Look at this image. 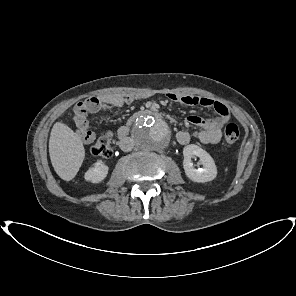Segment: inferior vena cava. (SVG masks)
<instances>
[{
    "mask_svg": "<svg viewBox=\"0 0 296 296\" xmlns=\"http://www.w3.org/2000/svg\"><path fill=\"white\" fill-rule=\"evenodd\" d=\"M134 147V142L131 138H123L121 141H120V148L127 152V151H131Z\"/></svg>",
    "mask_w": 296,
    "mask_h": 296,
    "instance_id": "602c4592",
    "label": "inferior vena cava"
}]
</instances>
